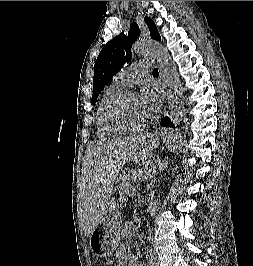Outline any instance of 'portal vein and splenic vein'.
Segmentation results:
<instances>
[{
	"label": "portal vein and splenic vein",
	"instance_id": "18ae733b",
	"mask_svg": "<svg viewBox=\"0 0 253 266\" xmlns=\"http://www.w3.org/2000/svg\"><path fill=\"white\" fill-rule=\"evenodd\" d=\"M138 174H139V175H142L143 173H142V172H139Z\"/></svg>",
	"mask_w": 253,
	"mask_h": 266
}]
</instances>
